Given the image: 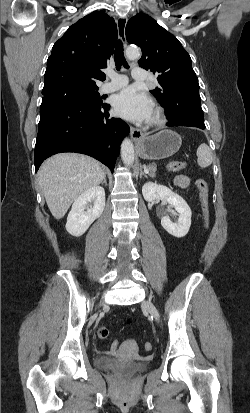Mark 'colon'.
<instances>
[{"instance_id": "colon-1", "label": "colon", "mask_w": 250, "mask_h": 413, "mask_svg": "<svg viewBox=\"0 0 250 413\" xmlns=\"http://www.w3.org/2000/svg\"><path fill=\"white\" fill-rule=\"evenodd\" d=\"M186 167V162L184 161H173L168 163L167 169L172 172L183 170ZM196 187L199 190L200 194V201L202 206V212L204 217V224L205 227H209V203H208V186L207 183L203 179H197L195 182ZM109 334V331L106 327H99L97 330V335L99 338L103 339L106 338ZM120 342L119 336H114L113 339L109 343L108 353H114V350L118 347ZM144 349L146 351L152 350V344L147 342L144 345Z\"/></svg>"}]
</instances>
